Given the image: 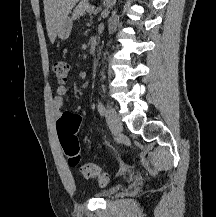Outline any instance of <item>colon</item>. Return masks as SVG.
Returning a JSON list of instances; mask_svg holds the SVG:
<instances>
[{
    "label": "colon",
    "mask_w": 216,
    "mask_h": 217,
    "mask_svg": "<svg viewBox=\"0 0 216 217\" xmlns=\"http://www.w3.org/2000/svg\"><path fill=\"white\" fill-rule=\"evenodd\" d=\"M54 76L59 82H65L70 72V65L66 60H56L52 65ZM82 117L77 114H64L57 123L58 136L69 165L77 166L80 162L79 143L76 133L81 126ZM80 173L85 178H97L100 184L107 183L108 177L94 164H83Z\"/></svg>",
    "instance_id": "obj_1"
}]
</instances>
